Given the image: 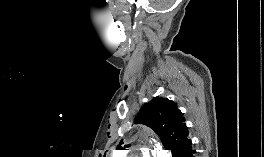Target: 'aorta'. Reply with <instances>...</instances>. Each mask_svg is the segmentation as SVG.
Segmentation results:
<instances>
[{"mask_svg": "<svg viewBox=\"0 0 264 157\" xmlns=\"http://www.w3.org/2000/svg\"><path fill=\"white\" fill-rule=\"evenodd\" d=\"M157 148H158V157H170L169 153L162 150L160 146H157Z\"/></svg>", "mask_w": 264, "mask_h": 157, "instance_id": "obj_1", "label": "aorta"}]
</instances>
